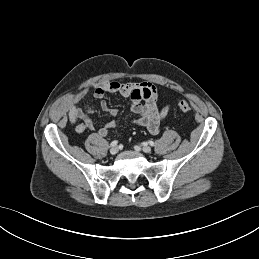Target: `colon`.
Instances as JSON below:
<instances>
[{"label":"colon","instance_id":"colon-1","mask_svg":"<svg viewBox=\"0 0 259 259\" xmlns=\"http://www.w3.org/2000/svg\"><path fill=\"white\" fill-rule=\"evenodd\" d=\"M178 106L179 109L183 112H188L191 110V105L187 101H180Z\"/></svg>","mask_w":259,"mask_h":259}]
</instances>
